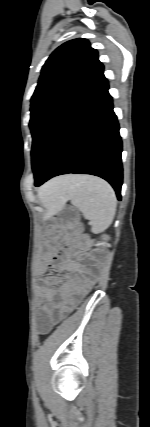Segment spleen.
I'll return each instance as SVG.
<instances>
[{
	"instance_id": "spleen-1",
	"label": "spleen",
	"mask_w": 150,
	"mask_h": 427,
	"mask_svg": "<svg viewBox=\"0 0 150 427\" xmlns=\"http://www.w3.org/2000/svg\"><path fill=\"white\" fill-rule=\"evenodd\" d=\"M44 198L51 204H62L71 200L90 221L91 231L101 233L113 222L117 199L113 188L105 180L86 175L64 177L50 184Z\"/></svg>"
}]
</instances>
